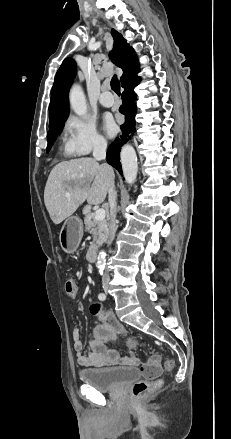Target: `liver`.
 <instances>
[{
  "instance_id": "6515ba94",
  "label": "liver",
  "mask_w": 231,
  "mask_h": 439,
  "mask_svg": "<svg viewBox=\"0 0 231 439\" xmlns=\"http://www.w3.org/2000/svg\"><path fill=\"white\" fill-rule=\"evenodd\" d=\"M113 169L95 159L83 157L58 163L50 172L44 190V203L54 224L70 217L86 200L101 204L114 181Z\"/></svg>"
}]
</instances>
